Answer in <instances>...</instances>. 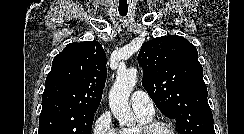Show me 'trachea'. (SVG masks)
Returning <instances> with one entry per match:
<instances>
[{"mask_svg": "<svg viewBox=\"0 0 244 134\" xmlns=\"http://www.w3.org/2000/svg\"><path fill=\"white\" fill-rule=\"evenodd\" d=\"M120 15H121V16H126L127 13H122V12H120Z\"/></svg>", "mask_w": 244, "mask_h": 134, "instance_id": "1", "label": "trachea"}]
</instances>
